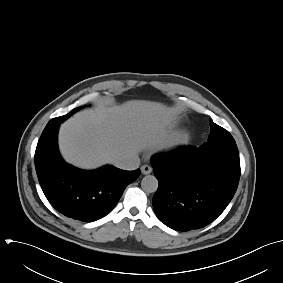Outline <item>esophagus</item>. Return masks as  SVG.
<instances>
[{
    "instance_id": "1",
    "label": "esophagus",
    "mask_w": 283,
    "mask_h": 283,
    "mask_svg": "<svg viewBox=\"0 0 283 283\" xmlns=\"http://www.w3.org/2000/svg\"><path fill=\"white\" fill-rule=\"evenodd\" d=\"M141 173L144 175L150 174L152 172V168L149 165H143L140 168Z\"/></svg>"
}]
</instances>
